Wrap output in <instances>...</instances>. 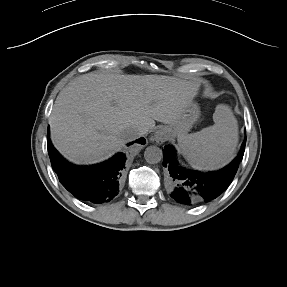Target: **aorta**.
Listing matches in <instances>:
<instances>
[{
  "label": "aorta",
  "mask_w": 287,
  "mask_h": 287,
  "mask_svg": "<svg viewBox=\"0 0 287 287\" xmlns=\"http://www.w3.org/2000/svg\"><path fill=\"white\" fill-rule=\"evenodd\" d=\"M144 158L149 164H157L163 158V152L158 146H148L144 152Z\"/></svg>",
  "instance_id": "1"
}]
</instances>
